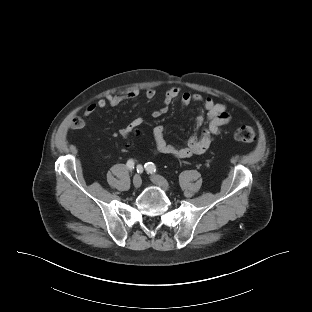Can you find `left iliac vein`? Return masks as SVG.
Wrapping results in <instances>:
<instances>
[{"label": "left iliac vein", "instance_id": "left-iliac-vein-1", "mask_svg": "<svg viewBox=\"0 0 312 312\" xmlns=\"http://www.w3.org/2000/svg\"><path fill=\"white\" fill-rule=\"evenodd\" d=\"M151 181L157 185H160L164 189H168V184H167L166 180L160 175H152Z\"/></svg>", "mask_w": 312, "mask_h": 312}]
</instances>
